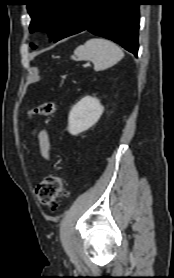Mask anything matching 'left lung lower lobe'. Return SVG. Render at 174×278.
<instances>
[{"instance_id": "0a47b994", "label": "left lung lower lobe", "mask_w": 174, "mask_h": 278, "mask_svg": "<svg viewBox=\"0 0 174 278\" xmlns=\"http://www.w3.org/2000/svg\"><path fill=\"white\" fill-rule=\"evenodd\" d=\"M140 0H79L55 42L88 30L137 55Z\"/></svg>"}]
</instances>
